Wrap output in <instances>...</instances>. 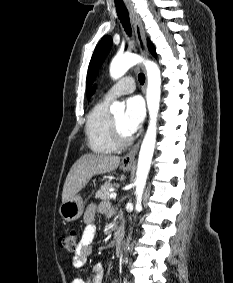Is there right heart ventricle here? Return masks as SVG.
Wrapping results in <instances>:
<instances>
[{
	"label": "right heart ventricle",
	"mask_w": 233,
	"mask_h": 283,
	"mask_svg": "<svg viewBox=\"0 0 233 283\" xmlns=\"http://www.w3.org/2000/svg\"><path fill=\"white\" fill-rule=\"evenodd\" d=\"M109 101L101 100L94 105L86 121V137L89 148L97 154L113 153L117 147L111 138Z\"/></svg>",
	"instance_id": "obj_1"
}]
</instances>
